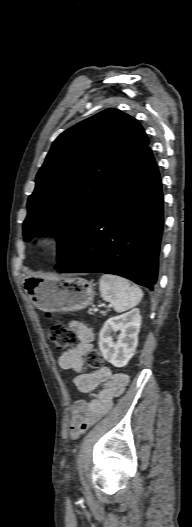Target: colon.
I'll return each instance as SVG.
<instances>
[{"label": "colon", "instance_id": "5ec220e1", "mask_svg": "<svg viewBox=\"0 0 192 527\" xmlns=\"http://www.w3.org/2000/svg\"><path fill=\"white\" fill-rule=\"evenodd\" d=\"M48 338L53 343L55 349L64 350L77 341L76 332L70 327L55 322L48 328ZM85 365L88 370L92 372H99L103 368V360L101 354L93 349L85 355Z\"/></svg>", "mask_w": 192, "mask_h": 527}]
</instances>
